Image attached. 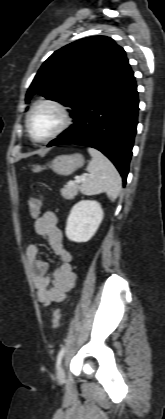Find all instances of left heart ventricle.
Masks as SVG:
<instances>
[{
	"instance_id": "1",
	"label": "left heart ventricle",
	"mask_w": 165,
	"mask_h": 419,
	"mask_svg": "<svg viewBox=\"0 0 165 419\" xmlns=\"http://www.w3.org/2000/svg\"><path fill=\"white\" fill-rule=\"evenodd\" d=\"M58 111L50 106L38 107L31 118V130L35 138L42 139L50 135L60 124Z\"/></svg>"
}]
</instances>
